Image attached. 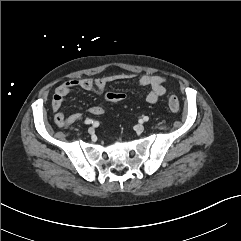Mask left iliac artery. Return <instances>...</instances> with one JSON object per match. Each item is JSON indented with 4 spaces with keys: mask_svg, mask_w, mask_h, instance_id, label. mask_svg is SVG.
Returning a JSON list of instances; mask_svg holds the SVG:
<instances>
[{
    "mask_svg": "<svg viewBox=\"0 0 241 241\" xmlns=\"http://www.w3.org/2000/svg\"><path fill=\"white\" fill-rule=\"evenodd\" d=\"M148 120H149V117H148V116H144V117H143V121H144V122H147Z\"/></svg>",
    "mask_w": 241,
    "mask_h": 241,
    "instance_id": "44dca946",
    "label": "left iliac artery"
}]
</instances>
